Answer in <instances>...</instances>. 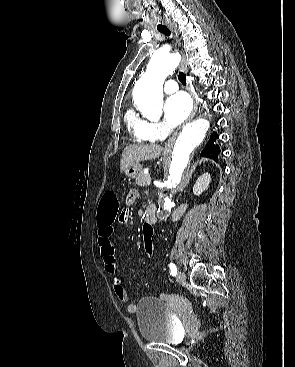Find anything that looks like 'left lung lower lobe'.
<instances>
[{"label":"left lung lower lobe","instance_id":"1","mask_svg":"<svg viewBox=\"0 0 295 367\" xmlns=\"http://www.w3.org/2000/svg\"><path fill=\"white\" fill-rule=\"evenodd\" d=\"M218 138L217 134L214 132L211 135V138L203 151L201 152V156L212 158L217 161L218 154L220 152V148L218 145H214V141Z\"/></svg>","mask_w":295,"mask_h":367}]
</instances>
